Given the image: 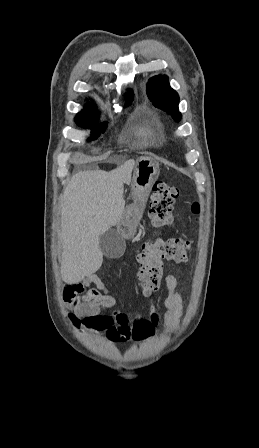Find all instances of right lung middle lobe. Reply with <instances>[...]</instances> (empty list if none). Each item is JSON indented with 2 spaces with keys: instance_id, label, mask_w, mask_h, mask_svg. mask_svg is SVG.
Segmentation results:
<instances>
[{
  "instance_id": "1",
  "label": "right lung middle lobe",
  "mask_w": 259,
  "mask_h": 448,
  "mask_svg": "<svg viewBox=\"0 0 259 448\" xmlns=\"http://www.w3.org/2000/svg\"><path fill=\"white\" fill-rule=\"evenodd\" d=\"M99 113L98 114H84V115H77L75 118V122L78 126L82 128H88L91 127V139H96L100 136L101 133L105 132L106 125L105 123L96 124V121L98 120Z\"/></svg>"
}]
</instances>
